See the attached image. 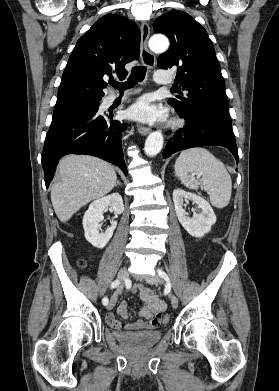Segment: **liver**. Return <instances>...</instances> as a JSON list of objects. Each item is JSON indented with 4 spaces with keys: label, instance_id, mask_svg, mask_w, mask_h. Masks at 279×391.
<instances>
[{
    "label": "liver",
    "instance_id": "obj_1",
    "mask_svg": "<svg viewBox=\"0 0 279 391\" xmlns=\"http://www.w3.org/2000/svg\"><path fill=\"white\" fill-rule=\"evenodd\" d=\"M57 181L51 187V201L61 222L91 200L109 193L117 183L114 168L88 155L64 156L57 167Z\"/></svg>",
    "mask_w": 279,
    "mask_h": 391
}]
</instances>
